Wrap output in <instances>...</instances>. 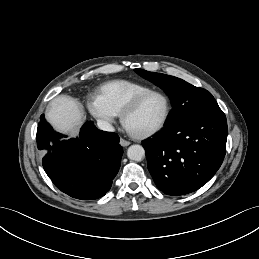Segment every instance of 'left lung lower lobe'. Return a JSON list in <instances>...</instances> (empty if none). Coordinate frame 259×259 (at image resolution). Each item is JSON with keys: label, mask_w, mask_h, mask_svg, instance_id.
I'll return each mask as SVG.
<instances>
[{"label": "left lung lower lobe", "mask_w": 259, "mask_h": 259, "mask_svg": "<svg viewBox=\"0 0 259 259\" xmlns=\"http://www.w3.org/2000/svg\"><path fill=\"white\" fill-rule=\"evenodd\" d=\"M227 121L220 110L166 127L143 143L148 169L167 195H184L205 185L220 168Z\"/></svg>", "instance_id": "left-lung-lower-lobe-1"}]
</instances>
